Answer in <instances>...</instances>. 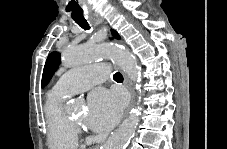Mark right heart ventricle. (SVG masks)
Here are the masks:
<instances>
[{
  "label": "right heart ventricle",
  "mask_w": 227,
  "mask_h": 149,
  "mask_svg": "<svg viewBox=\"0 0 227 149\" xmlns=\"http://www.w3.org/2000/svg\"><path fill=\"white\" fill-rule=\"evenodd\" d=\"M67 97L53 89L45 101L44 113L51 149H73L78 145V131L63 110V102Z\"/></svg>",
  "instance_id": "1"
}]
</instances>
